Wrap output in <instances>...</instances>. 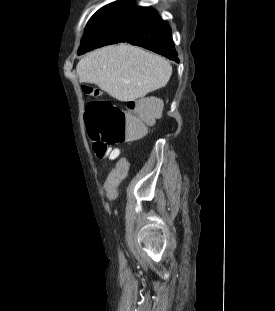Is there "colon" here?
Here are the masks:
<instances>
[{
	"instance_id": "colon-1",
	"label": "colon",
	"mask_w": 275,
	"mask_h": 311,
	"mask_svg": "<svg viewBox=\"0 0 275 311\" xmlns=\"http://www.w3.org/2000/svg\"><path fill=\"white\" fill-rule=\"evenodd\" d=\"M87 92L97 95L92 89ZM159 117L158 107L149 101L129 102L128 111H124L102 99L90 102L84 115L94 153L100 159L114 157L116 146L141 138L147 126Z\"/></svg>"
}]
</instances>
